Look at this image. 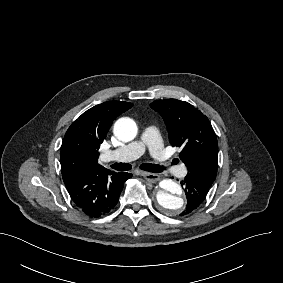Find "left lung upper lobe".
I'll list each match as a JSON object with an SVG mask.
<instances>
[{
  "instance_id": "left-lung-upper-lobe-1",
  "label": "left lung upper lobe",
  "mask_w": 283,
  "mask_h": 283,
  "mask_svg": "<svg viewBox=\"0 0 283 283\" xmlns=\"http://www.w3.org/2000/svg\"><path fill=\"white\" fill-rule=\"evenodd\" d=\"M151 108L163 117L172 146H181L188 171L217 173L218 143L208 118L193 105L175 99L157 100Z\"/></svg>"
}]
</instances>
